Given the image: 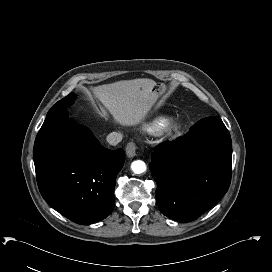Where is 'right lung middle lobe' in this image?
<instances>
[{"instance_id":"dd1d6c3e","label":"right lung middle lobe","mask_w":272,"mask_h":272,"mask_svg":"<svg viewBox=\"0 0 272 272\" xmlns=\"http://www.w3.org/2000/svg\"><path fill=\"white\" fill-rule=\"evenodd\" d=\"M75 95L73 93H70L68 96H66L65 98H63L62 100L58 101L48 112V114H50L51 112L63 108V107H68L70 106L75 99ZM47 114V115H48Z\"/></svg>"}]
</instances>
